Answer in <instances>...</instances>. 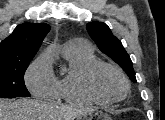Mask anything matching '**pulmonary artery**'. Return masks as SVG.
Segmentation results:
<instances>
[{
  "label": "pulmonary artery",
  "mask_w": 165,
  "mask_h": 120,
  "mask_svg": "<svg viewBox=\"0 0 165 120\" xmlns=\"http://www.w3.org/2000/svg\"><path fill=\"white\" fill-rule=\"evenodd\" d=\"M65 49H90V47L85 41L74 39L66 43Z\"/></svg>",
  "instance_id": "obj_1"
}]
</instances>
